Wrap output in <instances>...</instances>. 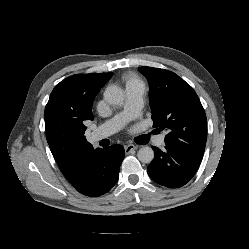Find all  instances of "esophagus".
<instances>
[{
  "label": "esophagus",
  "instance_id": "1",
  "mask_svg": "<svg viewBox=\"0 0 249 249\" xmlns=\"http://www.w3.org/2000/svg\"><path fill=\"white\" fill-rule=\"evenodd\" d=\"M137 148H138L137 145L128 144V145L125 146V153L128 154V153H130L131 151L136 150Z\"/></svg>",
  "mask_w": 249,
  "mask_h": 249
}]
</instances>
